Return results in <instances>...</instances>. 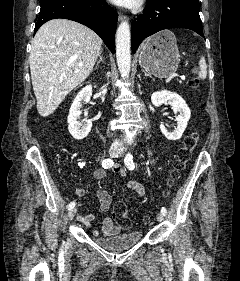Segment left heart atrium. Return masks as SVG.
Returning a JSON list of instances; mask_svg holds the SVG:
<instances>
[{
  "instance_id": "39dd6f15",
  "label": "left heart atrium",
  "mask_w": 240,
  "mask_h": 281,
  "mask_svg": "<svg viewBox=\"0 0 240 281\" xmlns=\"http://www.w3.org/2000/svg\"><path fill=\"white\" fill-rule=\"evenodd\" d=\"M110 1L118 6H123L128 8L137 7L140 3V0H110Z\"/></svg>"
}]
</instances>
